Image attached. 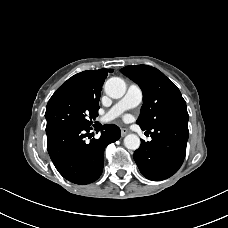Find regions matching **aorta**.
I'll list each match as a JSON object with an SVG mask.
<instances>
[{"label":"aorta","instance_id":"obj_1","mask_svg":"<svg viewBox=\"0 0 228 228\" xmlns=\"http://www.w3.org/2000/svg\"><path fill=\"white\" fill-rule=\"evenodd\" d=\"M105 93L114 99L121 98L126 92V84L119 77L108 79L104 85ZM124 145L129 150H137L140 146V138L135 134H129L124 138Z\"/></svg>","mask_w":228,"mask_h":228}]
</instances>
